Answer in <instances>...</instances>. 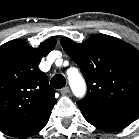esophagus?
<instances>
[{
    "label": "esophagus",
    "mask_w": 139,
    "mask_h": 139,
    "mask_svg": "<svg viewBox=\"0 0 139 139\" xmlns=\"http://www.w3.org/2000/svg\"><path fill=\"white\" fill-rule=\"evenodd\" d=\"M69 92H70L69 87H64V88L60 89V93L63 95L68 94Z\"/></svg>",
    "instance_id": "1"
}]
</instances>
